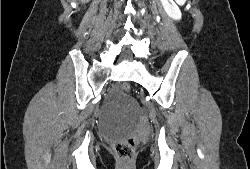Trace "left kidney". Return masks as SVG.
<instances>
[{"label":"left kidney","instance_id":"obj_1","mask_svg":"<svg viewBox=\"0 0 250 169\" xmlns=\"http://www.w3.org/2000/svg\"><path fill=\"white\" fill-rule=\"evenodd\" d=\"M161 2L168 16H171V18H174V20H180L182 16L181 10L174 0H161Z\"/></svg>","mask_w":250,"mask_h":169}]
</instances>
